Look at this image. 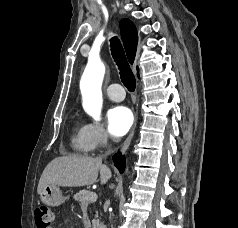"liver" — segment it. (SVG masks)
Returning <instances> with one entry per match:
<instances>
[{
  "instance_id": "1",
  "label": "liver",
  "mask_w": 238,
  "mask_h": 228,
  "mask_svg": "<svg viewBox=\"0 0 238 228\" xmlns=\"http://www.w3.org/2000/svg\"><path fill=\"white\" fill-rule=\"evenodd\" d=\"M100 172L101 184L112 177L101 158L69 155L53 159L44 169L37 188L40 195L45 186L80 187L93 184Z\"/></svg>"
}]
</instances>
